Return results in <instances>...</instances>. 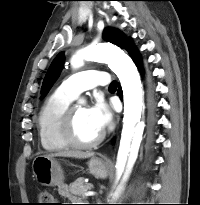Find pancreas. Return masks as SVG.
<instances>
[{"instance_id": "obj_1", "label": "pancreas", "mask_w": 200, "mask_h": 205, "mask_svg": "<svg viewBox=\"0 0 200 205\" xmlns=\"http://www.w3.org/2000/svg\"><path fill=\"white\" fill-rule=\"evenodd\" d=\"M93 188V185L90 183H85L84 178L80 177L76 179L72 184L69 186V192H70V199L71 200H82L85 198V193L88 190H91Z\"/></svg>"}]
</instances>
